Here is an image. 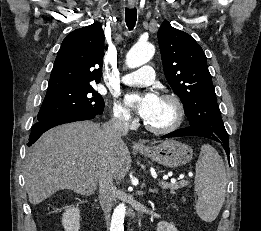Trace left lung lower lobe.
Returning a JSON list of instances; mask_svg holds the SVG:
<instances>
[{"label": "left lung lower lobe", "mask_w": 261, "mask_h": 231, "mask_svg": "<svg viewBox=\"0 0 261 231\" xmlns=\"http://www.w3.org/2000/svg\"><path fill=\"white\" fill-rule=\"evenodd\" d=\"M182 136H199V137H206L204 134H202L199 130L194 129L192 127H188V128H182V129H178L174 132H171L167 135L162 136V138H166V137H182ZM212 139L214 141H217L219 143H221L227 153V155H229V141L228 139L225 138H218V137H212L209 138Z\"/></svg>", "instance_id": "1"}]
</instances>
